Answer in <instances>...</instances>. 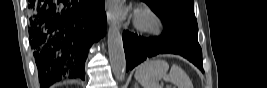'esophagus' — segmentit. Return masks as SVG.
Listing matches in <instances>:
<instances>
[{
	"label": "esophagus",
	"mask_w": 267,
	"mask_h": 88,
	"mask_svg": "<svg viewBox=\"0 0 267 88\" xmlns=\"http://www.w3.org/2000/svg\"><path fill=\"white\" fill-rule=\"evenodd\" d=\"M107 20L110 25H118L116 21L113 19L112 15L107 11Z\"/></svg>",
	"instance_id": "34e87169"
}]
</instances>
